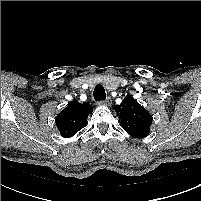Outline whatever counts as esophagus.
<instances>
[{"label":"esophagus","instance_id":"obj_1","mask_svg":"<svg viewBox=\"0 0 201 201\" xmlns=\"http://www.w3.org/2000/svg\"><path fill=\"white\" fill-rule=\"evenodd\" d=\"M111 104H112V100L110 97L98 102V105H104V106H110Z\"/></svg>","mask_w":201,"mask_h":201}]
</instances>
